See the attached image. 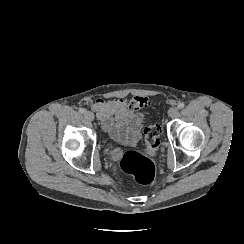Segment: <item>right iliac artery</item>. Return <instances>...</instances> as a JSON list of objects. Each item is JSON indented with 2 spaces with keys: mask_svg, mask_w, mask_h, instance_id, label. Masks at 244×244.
<instances>
[{
  "mask_svg": "<svg viewBox=\"0 0 244 244\" xmlns=\"http://www.w3.org/2000/svg\"><path fill=\"white\" fill-rule=\"evenodd\" d=\"M86 110L84 108H79V113L83 114Z\"/></svg>",
  "mask_w": 244,
  "mask_h": 244,
  "instance_id": "82829eb1",
  "label": "right iliac artery"
}]
</instances>
